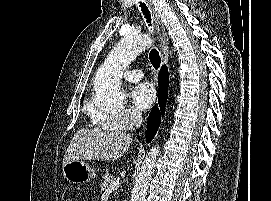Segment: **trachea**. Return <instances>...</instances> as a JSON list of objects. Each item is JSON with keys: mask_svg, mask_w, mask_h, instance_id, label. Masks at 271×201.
Returning <instances> with one entry per match:
<instances>
[{"mask_svg": "<svg viewBox=\"0 0 271 201\" xmlns=\"http://www.w3.org/2000/svg\"><path fill=\"white\" fill-rule=\"evenodd\" d=\"M141 11L146 18L147 23L151 26V15L145 3L140 2ZM149 59L152 66L157 70L161 64V58L159 52L154 48L149 53Z\"/></svg>", "mask_w": 271, "mask_h": 201, "instance_id": "trachea-1", "label": "trachea"}]
</instances>
